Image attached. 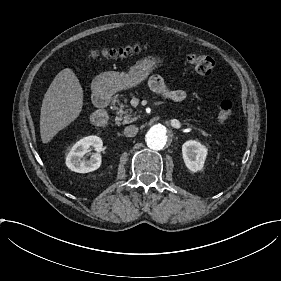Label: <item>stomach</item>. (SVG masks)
Returning a JSON list of instances; mask_svg holds the SVG:
<instances>
[{"instance_id":"0dacf381","label":"stomach","mask_w":281,"mask_h":281,"mask_svg":"<svg viewBox=\"0 0 281 281\" xmlns=\"http://www.w3.org/2000/svg\"><path fill=\"white\" fill-rule=\"evenodd\" d=\"M162 62L163 60L160 57L148 56L137 61L134 66L130 67L128 73L104 72L94 80L97 92L112 95L117 91L136 87Z\"/></svg>"}]
</instances>
